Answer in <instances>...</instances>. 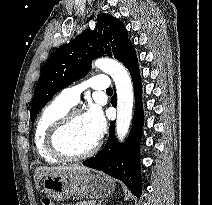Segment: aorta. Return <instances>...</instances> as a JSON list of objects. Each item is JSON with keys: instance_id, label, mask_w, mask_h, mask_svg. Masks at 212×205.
Returning a JSON list of instances; mask_svg holds the SVG:
<instances>
[{"instance_id": "1", "label": "aorta", "mask_w": 212, "mask_h": 205, "mask_svg": "<svg viewBox=\"0 0 212 205\" xmlns=\"http://www.w3.org/2000/svg\"><path fill=\"white\" fill-rule=\"evenodd\" d=\"M94 66L109 74L115 83L117 92L116 134L118 140L123 141L128 134L132 119L134 93L131 77L125 67L113 59H97Z\"/></svg>"}]
</instances>
